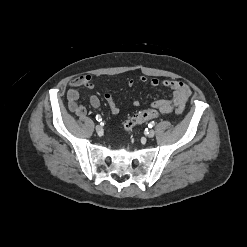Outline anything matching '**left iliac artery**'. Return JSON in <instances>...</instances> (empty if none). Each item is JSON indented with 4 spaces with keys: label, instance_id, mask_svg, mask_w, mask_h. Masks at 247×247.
Segmentation results:
<instances>
[{
    "label": "left iliac artery",
    "instance_id": "44dca946",
    "mask_svg": "<svg viewBox=\"0 0 247 247\" xmlns=\"http://www.w3.org/2000/svg\"><path fill=\"white\" fill-rule=\"evenodd\" d=\"M150 128H152L153 126H155V121L150 122V124L148 125Z\"/></svg>",
    "mask_w": 247,
    "mask_h": 247
}]
</instances>
